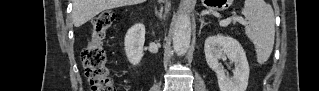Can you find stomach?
I'll return each instance as SVG.
<instances>
[{
  "label": "stomach",
  "mask_w": 319,
  "mask_h": 91,
  "mask_svg": "<svg viewBox=\"0 0 319 91\" xmlns=\"http://www.w3.org/2000/svg\"><path fill=\"white\" fill-rule=\"evenodd\" d=\"M206 6H209L212 9L224 10L228 6L227 0H214V1H205Z\"/></svg>",
  "instance_id": "stomach-1"
}]
</instances>
